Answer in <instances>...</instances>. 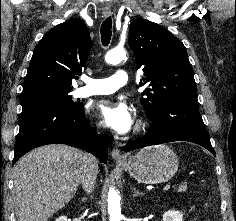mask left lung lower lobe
I'll return each instance as SVG.
<instances>
[{"instance_id":"obj_1","label":"left lung lower lobe","mask_w":236,"mask_h":221,"mask_svg":"<svg viewBox=\"0 0 236 221\" xmlns=\"http://www.w3.org/2000/svg\"><path fill=\"white\" fill-rule=\"evenodd\" d=\"M150 120L152 124L148 134L128 143L124 147L125 152L153 144L189 141L203 146L216 156L199 113L198 104L169 102L163 105Z\"/></svg>"}]
</instances>
